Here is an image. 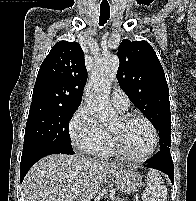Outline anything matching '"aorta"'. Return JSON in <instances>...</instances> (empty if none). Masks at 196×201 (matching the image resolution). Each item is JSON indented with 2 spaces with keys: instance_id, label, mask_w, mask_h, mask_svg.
<instances>
[{
  "instance_id": "762f6f07",
  "label": "aorta",
  "mask_w": 196,
  "mask_h": 201,
  "mask_svg": "<svg viewBox=\"0 0 196 201\" xmlns=\"http://www.w3.org/2000/svg\"><path fill=\"white\" fill-rule=\"evenodd\" d=\"M118 67L119 58L115 54L100 58L86 88L85 101L93 116L102 123H109L116 118V112L110 103V89Z\"/></svg>"
}]
</instances>
